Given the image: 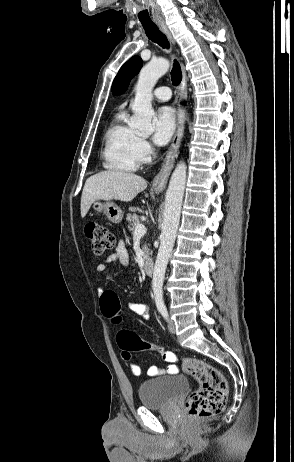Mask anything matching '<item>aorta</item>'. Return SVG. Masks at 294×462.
<instances>
[{
  "label": "aorta",
  "mask_w": 294,
  "mask_h": 462,
  "mask_svg": "<svg viewBox=\"0 0 294 462\" xmlns=\"http://www.w3.org/2000/svg\"><path fill=\"white\" fill-rule=\"evenodd\" d=\"M169 65L167 59L159 58L150 61L140 71L132 105L134 115L129 126L142 134L149 135L154 130L151 124L154 115L151 104L152 90L158 79L168 71ZM185 184L186 165L181 161L171 175L166 192L160 246L153 270L152 289L157 308L164 306L163 282L179 226Z\"/></svg>",
  "instance_id": "762f6f07"
}]
</instances>
